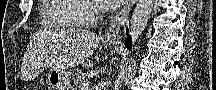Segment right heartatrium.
Returning a JSON list of instances; mask_svg holds the SVG:
<instances>
[{"instance_id":"obj_1","label":"right heart atrium","mask_w":216,"mask_h":90,"mask_svg":"<svg viewBox=\"0 0 216 90\" xmlns=\"http://www.w3.org/2000/svg\"><path fill=\"white\" fill-rule=\"evenodd\" d=\"M88 20H93L91 15H88Z\"/></svg>"}]
</instances>
